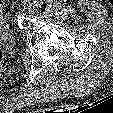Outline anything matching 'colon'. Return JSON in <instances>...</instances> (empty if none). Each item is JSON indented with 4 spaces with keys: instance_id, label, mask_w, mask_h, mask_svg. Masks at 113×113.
Returning <instances> with one entry per match:
<instances>
[{
    "instance_id": "1",
    "label": "colon",
    "mask_w": 113,
    "mask_h": 113,
    "mask_svg": "<svg viewBox=\"0 0 113 113\" xmlns=\"http://www.w3.org/2000/svg\"><path fill=\"white\" fill-rule=\"evenodd\" d=\"M8 54L6 51L0 49V68L3 66V64L7 61Z\"/></svg>"
}]
</instances>
